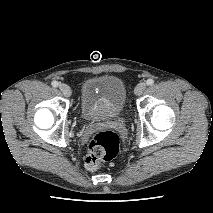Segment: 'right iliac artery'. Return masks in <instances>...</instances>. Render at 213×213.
<instances>
[{
    "label": "right iliac artery",
    "instance_id": "right-iliac-artery-1",
    "mask_svg": "<svg viewBox=\"0 0 213 213\" xmlns=\"http://www.w3.org/2000/svg\"><path fill=\"white\" fill-rule=\"evenodd\" d=\"M51 85L53 87H58L59 86V83L57 81H52Z\"/></svg>",
    "mask_w": 213,
    "mask_h": 213
}]
</instances>
